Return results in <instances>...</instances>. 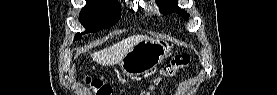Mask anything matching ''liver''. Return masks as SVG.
I'll return each mask as SVG.
<instances>
[{"label":"liver","mask_w":277,"mask_h":95,"mask_svg":"<svg viewBox=\"0 0 277 95\" xmlns=\"http://www.w3.org/2000/svg\"><path fill=\"white\" fill-rule=\"evenodd\" d=\"M148 38L143 35L130 36L108 48L91 54L93 61L103 66L119 64L122 58L140 41Z\"/></svg>","instance_id":"liver-1"}]
</instances>
